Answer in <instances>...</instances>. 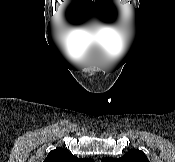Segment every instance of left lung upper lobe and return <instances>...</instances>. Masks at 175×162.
Returning <instances> with one entry per match:
<instances>
[{
  "instance_id": "obj_1",
  "label": "left lung upper lobe",
  "mask_w": 175,
  "mask_h": 162,
  "mask_svg": "<svg viewBox=\"0 0 175 162\" xmlns=\"http://www.w3.org/2000/svg\"><path fill=\"white\" fill-rule=\"evenodd\" d=\"M101 162H149V160L143 151L131 149L121 158L114 159L112 157H105L101 160Z\"/></svg>"
}]
</instances>
